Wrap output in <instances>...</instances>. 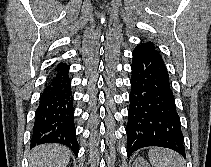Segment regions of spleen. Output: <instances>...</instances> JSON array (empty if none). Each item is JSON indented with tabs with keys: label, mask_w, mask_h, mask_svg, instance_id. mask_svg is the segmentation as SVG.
I'll use <instances>...</instances> for the list:
<instances>
[{
	"label": "spleen",
	"mask_w": 211,
	"mask_h": 167,
	"mask_svg": "<svg viewBox=\"0 0 211 167\" xmlns=\"http://www.w3.org/2000/svg\"><path fill=\"white\" fill-rule=\"evenodd\" d=\"M148 156L152 167H185L184 158L173 150L155 147Z\"/></svg>",
	"instance_id": "obj_1"
}]
</instances>
